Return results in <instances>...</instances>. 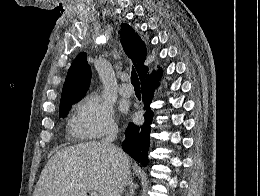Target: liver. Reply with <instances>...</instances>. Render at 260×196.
Wrapping results in <instances>:
<instances>
[{
    "label": "liver",
    "mask_w": 260,
    "mask_h": 196,
    "mask_svg": "<svg viewBox=\"0 0 260 196\" xmlns=\"http://www.w3.org/2000/svg\"><path fill=\"white\" fill-rule=\"evenodd\" d=\"M117 154L126 156L121 148ZM126 164L114 160V152L102 148L101 142H85L59 150L47 162L33 192V196H88L87 192H99L100 196H114L117 178L132 182L130 158Z\"/></svg>",
    "instance_id": "liver-1"
}]
</instances>
